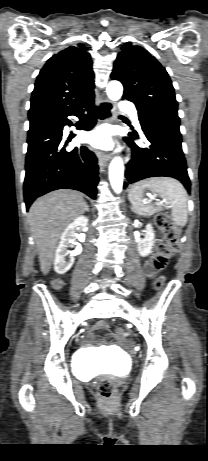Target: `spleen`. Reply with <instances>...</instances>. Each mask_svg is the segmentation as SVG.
<instances>
[{
	"instance_id": "spleen-1",
	"label": "spleen",
	"mask_w": 208,
	"mask_h": 461,
	"mask_svg": "<svg viewBox=\"0 0 208 461\" xmlns=\"http://www.w3.org/2000/svg\"><path fill=\"white\" fill-rule=\"evenodd\" d=\"M146 189L164 196L170 205L175 224L181 227L186 225L188 196L184 186L179 181L170 177H154L139 181L131 186L128 197L135 212L143 216H150L157 211V207L147 204L143 199V193Z\"/></svg>"
}]
</instances>
